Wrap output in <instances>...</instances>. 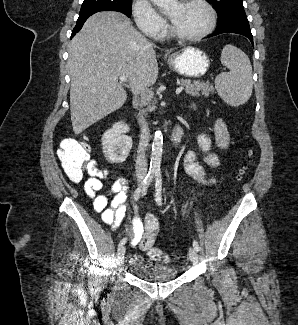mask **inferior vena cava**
<instances>
[{"label":"inferior vena cava","instance_id":"1","mask_svg":"<svg viewBox=\"0 0 298 325\" xmlns=\"http://www.w3.org/2000/svg\"><path fill=\"white\" fill-rule=\"evenodd\" d=\"M149 140L150 130L148 128V124L147 122H142L135 163V173L136 179H138V181H140V179H145L148 173V160L146 156V150H148Z\"/></svg>","mask_w":298,"mask_h":325}]
</instances>
